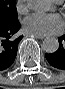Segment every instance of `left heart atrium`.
I'll use <instances>...</instances> for the list:
<instances>
[{"label": "left heart atrium", "mask_w": 65, "mask_h": 89, "mask_svg": "<svg viewBox=\"0 0 65 89\" xmlns=\"http://www.w3.org/2000/svg\"><path fill=\"white\" fill-rule=\"evenodd\" d=\"M24 29L36 35H48L63 27L62 19L57 15L34 13L23 21Z\"/></svg>", "instance_id": "39dd6f15"}]
</instances>
